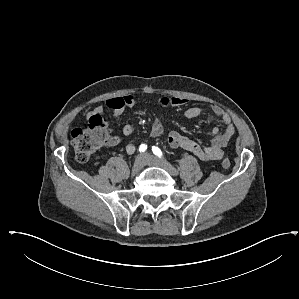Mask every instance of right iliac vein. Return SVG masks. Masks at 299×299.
I'll list each match as a JSON object with an SVG mask.
<instances>
[{"instance_id": "1", "label": "right iliac vein", "mask_w": 299, "mask_h": 299, "mask_svg": "<svg viewBox=\"0 0 299 299\" xmlns=\"http://www.w3.org/2000/svg\"><path fill=\"white\" fill-rule=\"evenodd\" d=\"M145 158L143 155H138L136 158H135V161H134V164H133V167H132V172L133 173H137L139 172L145 165Z\"/></svg>"}]
</instances>
